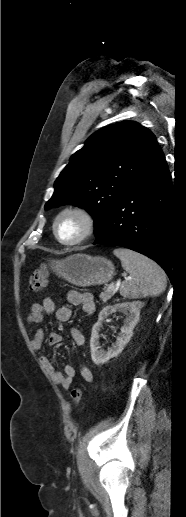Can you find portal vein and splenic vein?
Returning a JSON list of instances; mask_svg holds the SVG:
<instances>
[{
  "label": "portal vein and splenic vein",
  "mask_w": 186,
  "mask_h": 517,
  "mask_svg": "<svg viewBox=\"0 0 186 517\" xmlns=\"http://www.w3.org/2000/svg\"><path fill=\"white\" fill-rule=\"evenodd\" d=\"M115 286H116V285H115V283H114V282H112V283L108 286L107 291L115 290Z\"/></svg>",
  "instance_id": "18ae733b"
}]
</instances>
